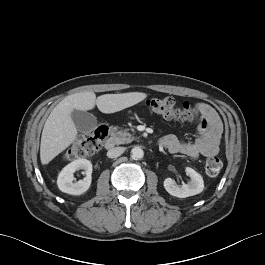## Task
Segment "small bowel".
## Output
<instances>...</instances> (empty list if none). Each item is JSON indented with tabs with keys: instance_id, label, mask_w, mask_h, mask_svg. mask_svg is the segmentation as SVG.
Instances as JSON below:
<instances>
[{
	"instance_id": "1",
	"label": "small bowel",
	"mask_w": 265,
	"mask_h": 265,
	"mask_svg": "<svg viewBox=\"0 0 265 265\" xmlns=\"http://www.w3.org/2000/svg\"><path fill=\"white\" fill-rule=\"evenodd\" d=\"M195 108L202 118L196 139L187 142L174 135L164 136L162 144L170 153L183 154L191 159L218 153L222 133V122L218 113L205 102L197 103Z\"/></svg>"
}]
</instances>
